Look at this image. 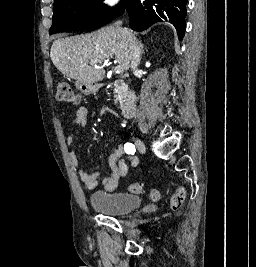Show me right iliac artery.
Returning <instances> with one entry per match:
<instances>
[{
	"label": "right iliac artery",
	"instance_id": "1",
	"mask_svg": "<svg viewBox=\"0 0 256 267\" xmlns=\"http://www.w3.org/2000/svg\"><path fill=\"white\" fill-rule=\"evenodd\" d=\"M124 150L127 154H134L136 151L135 146L132 143H126L124 145Z\"/></svg>",
	"mask_w": 256,
	"mask_h": 267
}]
</instances>
